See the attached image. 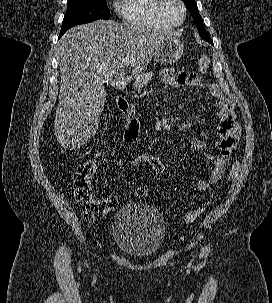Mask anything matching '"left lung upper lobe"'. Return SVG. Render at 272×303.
<instances>
[{
    "label": "left lung upper lobe",
    "mask_w": 272,
    "mask_h": 303,
    "mask_svg": "<svg viewBox=\"0 0 272 303\" xmlns=\"http://www.w3.org/2000/svg\"><path fill=\"white\" fill-rule=\"evenodd\" d=\"M183 1L187 5L189 12L193 16V20L197 26L200 37L202 39L206 40L207 42H211L212 40H211L210 36L208 35V33L206 32L205 27L202 23V19L199 14L198 7H197L195 0H183Z\"/></svg>",
    "instance_id": "5c2ea615"
}]
</instances>
